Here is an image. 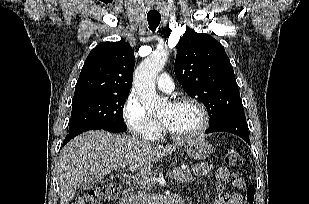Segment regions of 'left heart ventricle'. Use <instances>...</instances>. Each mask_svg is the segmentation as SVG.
Here are the masks:
<instances>
[{"mask_svg": "<svg viewBox=\"0 0 309 204\" xmlns=\"http://www.w3.org/2000/svg\"><path fill=\"white\" fill-rule=\"evenodd\" d=\"M159 119L175 133H190L201 124L199 110L190 104L181 106L167 105L159 115Z\"/></svg>", "mask_w": 309, "mask_h": 204, "instance_id": "1", "label": "left heart ventricle"}]
</instances>
